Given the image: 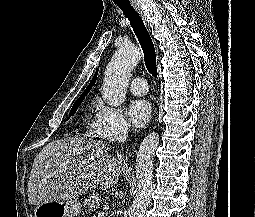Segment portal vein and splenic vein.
Listing matches in <instances>:
<instances>
[{
    "instance_id": "portal-vein-and-splenic-vein-1",
    "label": "portal vein and splenic vein",
    "mask_w": 255,
    "mask_h": 217,
    "mask_svg": "<svg viewBox=\"0 0 255 217\" xmlns=\"http://www.w3.org/2000/svg\"><path fill=\"white\" fill-rule=\"evenodd\" d=\"M108 208H109L108 205H104V206H103V210H106V209H108ZM102 214H103V212L100 211V212L98 213V217L102 216Z\"/></svg>"
}]
</instances>
